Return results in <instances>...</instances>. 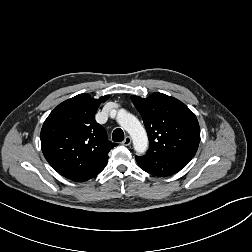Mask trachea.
<instances>
[{"label": "trachea", "mask_w": 252, "mask_h": 252, "mask_svg": "<svg viewBox=\"0 0 252 252\" xmlns=\"http://www.w3.org/2000/svg\"><path fill=\"white\" fill-rule=\"evenodd\" d=\"M112 140L114 142H121L124 140V132L122 129L117 128L112 133Z\"/></svg>", "instance_id": "trachea-1"}]
</instances>
